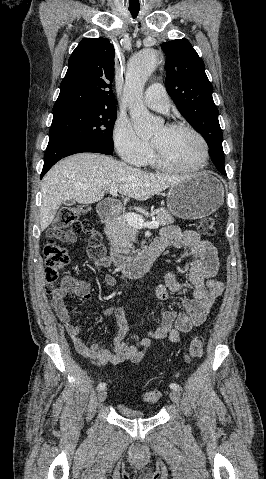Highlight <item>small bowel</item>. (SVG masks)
Masks as SVG:
<instances>
[{
  "label": "small bowel",
  "instance_id": "c3829d8e",
  "mask_svg": "<svg viewBox=\"0 0 266 479\" xmlns=\"http://www.w3.org/2000/svg\"><path fill=\"white\" fill-rule=\"evenodd\" d=\"M58 238L62 241L73 243L76 236L69 232L58 233ZM165 248L191 249V263L187 284L176 279L171 272L165 275V281L158 286L156 294L158 298L165 302L169 299L170 292L185 293L191 288V296L181 299L182 312H175L169 309L164 310L160 325L149 333V337L140 341V348L128 345L123 342L126 335V326L123 321V310L109 306L104 308L101 313L105 316H114L119 321L118 335L106 344H111L113 350L103 347V341H95L87 344L83 341L82 328L73 323V317L66 303V297L75 295L84 302H91L92 296L89 284L86 281L77 280L71 275H65L58 287L51 292V307L57 315L60 322L65 327L71 341L82 356L95 360L102 365H117L124 361L139 363L145 356L146 350L151 344V339L168 338L171 342H178L181 333H187L194 327L202 325L210 312V309L223 291L222 282L215 279L219 269V259L216 248L195 231H180L176 226H165L161 230L158 239ZM92 245L89 244L88 248ZM91 257V256H90ZM93 267L96 271L101 268L109 267L110 260L100 256L92 258ZM104 283L109 288L117 285V279L112 274H106L103 277ZM99 311H94L98 314Z\"/></svg>",
  "mask_w": 266,
  "mask_h": 479
}]
</instances>
